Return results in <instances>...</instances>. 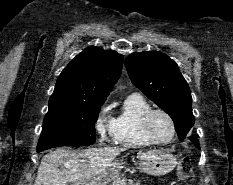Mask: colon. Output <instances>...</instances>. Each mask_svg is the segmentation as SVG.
<instances>
[{
    "label": "colon",
    "instance_id": "5ec220e1",
    "mask_svg": "<svg viewBox=\"0 0 233 185\" xmlns=\"http://www.w3.org/2000/svg\"><path fill=\"white\" fill-rule=\"evenodd\" d=\"M193 175V164L189 156L182 157L177 165V176L180 180L185 181Z\"/></svg>",
    "mask_w": 233,
    "mask_h": 185
}]
</instances>
